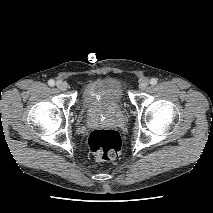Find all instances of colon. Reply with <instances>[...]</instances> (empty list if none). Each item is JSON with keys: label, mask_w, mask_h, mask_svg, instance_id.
<instances>
[{"label": "colon", "mask_w": 213, "mask_h": 213, "mask_svg": "<svg viewBox=\"0 0 213 213\" xmlns=\"http://www.w3.org/2000/svg\"><path fill=\"white\" fill-rule=\"evenodd\" d=\"M88 144L96 159L111 160L116 158L121 150V137L113 129H96L90 133Z\"/></svg>", "instance_id": "obj_1"}]
</instances>
